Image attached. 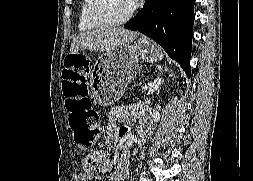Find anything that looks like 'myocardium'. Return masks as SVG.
Segmentation results:
<instances>
[{"mask_svg": "<svg viewBox=\"0 0 253 181\" xmlns=\"http://www.w3.org/2000/svg\"><path fill=\"white\" fill-rule=\"evenodd\" d=\"M103 3L104 0H91L89 7V17L95 24L101 27H118L124 25L132 19L135 13V8L120 20H110L103 13Z\"/></svg>", "mask_w": 253, "mask_h": 181, "instance_id": "obj_1", "label": "myocardium"}]
</instances>
